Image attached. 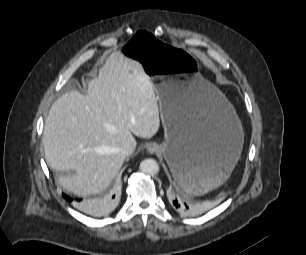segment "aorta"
Instances as JSON below:
<instances>
[{
  "instance_id": "aorta-1",
  "label": "aorta",
  "mask_w": 306,
  "mask_h": 255,
  "mask_svg": "<svg viewBox=\"0 0 306 255\" xmlns=\"http://www.w3.org/2000/svg\"><path fill=\"white\" fill-rule=\"evenodd\" d=\"M140 170L146 175H155L159 172V165L156 160L148 158L140 163Z\"/></svg>"
}]
</instances>
